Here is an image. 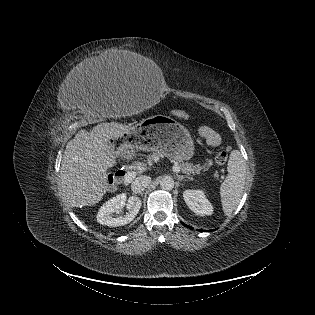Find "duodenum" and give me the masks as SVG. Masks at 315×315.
Returning a JSON list of instances; mask_svg holds the SVG:
<instances>
[{
	"label": "duodenum",
	"instance_id": "duodenum-1",
	"mask_svg": "<svg viewBox=\"0 0 315 315\" xmlns=\"http://www.w3.org/2000/svg\"><path fill=\"white\" fill-rule=\"evenodd\" d=\"M126 172L124 170H117L114 174L115 180H121L125 177Z\"/></svg>",
	"mask_w": 315,
	"mask_h": 315
}]
</instances>
